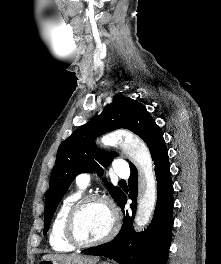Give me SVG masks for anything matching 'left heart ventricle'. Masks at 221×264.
<instances>
[{"label": "left heart ventricle", "mask_w": 221, "mask_h": 264, "mask_svg": "<svg viewBox=\"0 0 221 264\" xmlns=\"http://www.w3.org/2000/svg\"><path fill=\"white\" fill-rule=\"evenodd\" d=\"M111 227L109 209L98 202L86 204L77 219V234L83 241H95L104 237Z\"/></svg>", "instance_id": "left-heart-ventricle-1"}]
</instances>
